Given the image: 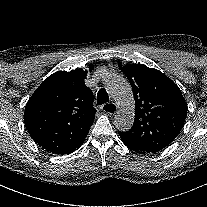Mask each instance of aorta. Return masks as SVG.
Masks as SVG:
<instances>
[{
  "instance_id": "obj_1",
  "label": "aorta",
  "mask_w": 207,
  "mask_h": 207,
  "mask_svg": "<svg viewBox=\"0 0 207 207\" xmlns=\"http://www.w3.org/2000/svg\"><path fill=\"white\" fill-rule=\"evenodd\" d=\"M104 84L119 106L114 117L115 127L120 131H128L134 123L135 115L134 97L129 82L121 75L108 73Z\"/></svg>"
}]
</instances>
